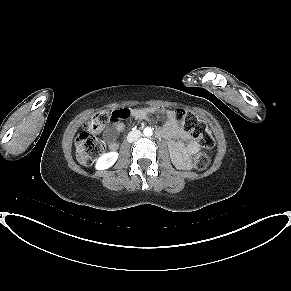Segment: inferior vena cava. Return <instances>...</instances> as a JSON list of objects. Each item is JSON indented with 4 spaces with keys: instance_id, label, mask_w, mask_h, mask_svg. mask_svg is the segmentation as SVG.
Returning a JSON list of instances; mask_svg holds the SVG:
<instances>
[{
    "instance_id": "inferior-vena-cava-1",
    "label": "inferior vena cava",
    "mask_w": 291,
    "mask_h": 291,
    "mask_svg": "<svg viewBox=\"0 0 291 291\" xmlns=\"http://www.w3.org/2000/svg\"><path fill=\"white\" fill-rule=\"evenodd\" d=\"M142 136V133L139 130H133L127 135V141L133 142L139 139Z\"/></svg>"
}]
</instances>
